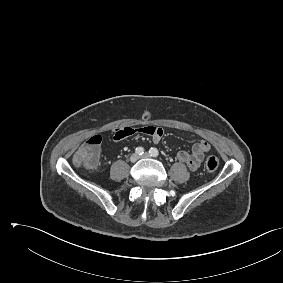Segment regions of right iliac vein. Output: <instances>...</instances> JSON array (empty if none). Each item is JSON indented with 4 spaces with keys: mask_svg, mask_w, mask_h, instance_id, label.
Listing matches in <instances>:
<instances>
[{
    "mask_svg": "<svg viewBox=\"0 0 283 283\" xmlns=\"http://www.w3.org/2000/svg\"><path fill=\"white\" fill-rule=\"evenodd\" d=\"M139 159V155L137 153H134L130 157L131 162H136Z\"/></svg>",
    "mask_w": 283,
    "mask_h": 283,
    "instance_id": "obj_1",
    "label": "right iliac vein"
}]
</instances>
